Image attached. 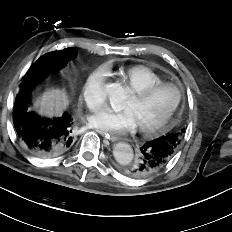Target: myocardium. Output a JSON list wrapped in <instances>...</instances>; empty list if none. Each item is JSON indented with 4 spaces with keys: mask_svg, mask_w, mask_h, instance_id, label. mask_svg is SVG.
Instances as JSON below:
<instances>
[{
    "mask_svg": "<svg viewBox=\"0 0 232 232\" xmlns=\"http://www.w3.org/2000/svg\"><path fill=\"white\" fill-rule=\"evenodd\" d=\"M168 87L173 88L177 93L175 102L170 107L167 114L158 122L148 125V126H138L140 133L146 136H150L164 129L171 122L175 113L179 109L182 98H183V92H182V89L177 84H174L171 82H160V83L150 84L141 89L132 91V94L135 98H137L138 100H143L147 98L149 95H151L153 92L159 89L168 88Z\"/></svg>",
    "mask_w": 232,
    "mask_h": 232,
    "instance_id": "myocardium-1",
    "label": "myocardium"
}]
</instances>
